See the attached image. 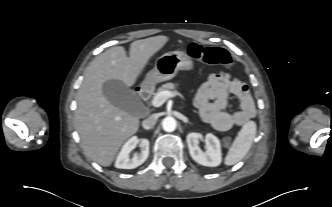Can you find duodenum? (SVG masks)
I'll return each mask as SVG.
<instances>
[{"instance_id": "410a0bca", "label": "duodenum", "mask_w": 332, "mask_h": 207, "mask_svg": "<svg viewBox=\"0 0 332 207\" xmlns=\"http://www.w3.org/2000/svg\"><path fill=\"white\" fill-rule=\"evenodd\" d=\"M137 94L142 101H147L150 96V89L147 86H143L137 89Z\"/></svg>"}]
</instances>
